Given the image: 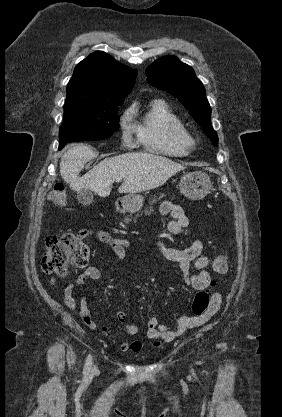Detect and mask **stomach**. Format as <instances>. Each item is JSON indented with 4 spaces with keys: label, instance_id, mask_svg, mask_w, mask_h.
Returning <instances> with one entry per match:
<instances>
[{
    "label": "stomach",
    "instance_id": "0dacf381",
    "mask_svg": "<svg viewBox=\"0 0 282 417\" xmlns=\"http://www.w3.org/2000/svg\"><path fill=\"white\" fill-rule=\"evenodd\" d=\"M211 186L212 184L208 174L206 172H200V170L187 172V174L181 176L179 182L180 192L184 196H187V198H191V200L204 198L210 192ZM143 200V194H133V192L122 196V204L128 213H138L141 206H143Z\"/></svg>",
    "mask_w": 282,
    "mask_h": 417
}]
</instances>
